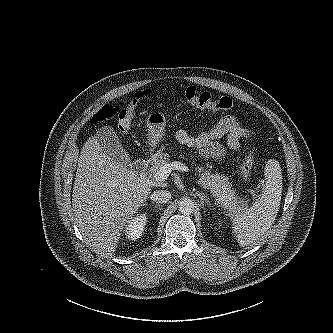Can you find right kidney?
Segmentation results:
<instances>
[{
	"mask_svg": "<svg viewBox=\"0 0 333 333\" xmlns=\"http://www.w3.org/2000/svg\"><path fill=\"white\" fill-rule=\"evenodd\" d=\"M146 222L147 217L145 214L132 218L126 226V237L133 241L139 239L142 236Z\"/></svg>",
	"mask_w": 333,
	"mask_h": 333,
	"instance_id": "right-kidney-1",
	"label": "right kidney"
}]
</instances>
